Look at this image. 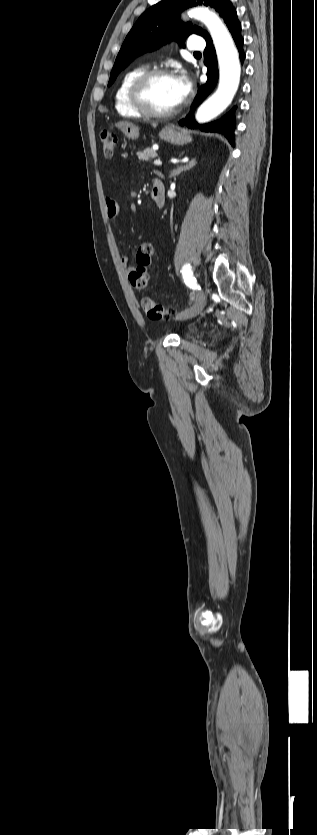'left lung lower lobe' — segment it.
Instances as JSON below:
<instances>
[{
  "mask_svg": "<svg viewBox=\"0 0 317 835\" xmlns=\"http://www.w3.org/2000/svg\"><path fill=\"white\" fill-rule=\"evenodd\" d=\"M228 10L229 15L225 20L229 31L232 34V37L236 43L238 51L240 53L241 62L245 59V54L243 51V38L241 36V24L237 18V13L231 2L227 4L224 11ZM207 46L204 51V63L207 66V82L200 86L198 89V93L194 99V102L191 107L190 113L186 116L184 120L180 122L181 125H186L189 128H199L201 131L205 132H218L222 133L226 136L228 141L234 146V128H235V117H234V107L230 112L224 115L221 119L214 121L212 123L198 124L195 119L193 112L195 108L211 93V91L216 86L218 80V68H217V58L215 49L212 43L211 37L207 40Z\"/></svg>",
  "mask_w": 317,
  "mask_h": 835,
  "instance_id": "obj_1",
  "label": "left lung lower lobe"
}]
</instances>
